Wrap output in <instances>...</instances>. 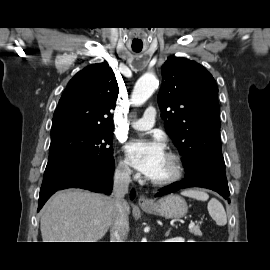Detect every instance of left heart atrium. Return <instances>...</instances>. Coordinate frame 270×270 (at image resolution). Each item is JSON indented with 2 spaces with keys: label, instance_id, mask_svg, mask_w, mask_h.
<instances>
[{
  "label": "left heart atrium",
  "instance_id": "39dd6f15",
  "mask_svg": "<svg viewBox=\"0 0 270 270\" xmlns=\"http://www.w3.org/2000/svg\"><path fill=\"white\" fill-rule=\"evenodd\" d=\"M125 150L131 164L148 178L157 173L166 156L164 144L159 140H134Z\"/></svg>",
  "mask_w": 270,
  "mask_h": 270
}]
</instances>
